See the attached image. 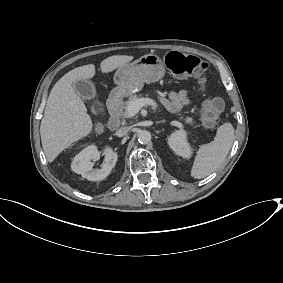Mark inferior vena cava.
<instances>
[{
	"label": "inferior vena cava",
	"instance_id": "602c4592",
	"mask_svg": "<svg viewBox=\"0 0 283 283\" xmlns=\"http://www.w3.org/2000/svg\"><path fill=\"white\" fill-rule=\"evenodd\" d=\"M129 130H130L129 127H122V128H120L119 130L116 131V135L118 137L125 136L128 133Z\"/></svg>",
	"mask_w": 283,
	"mask_h": 283
}]
</instances>
